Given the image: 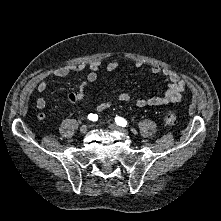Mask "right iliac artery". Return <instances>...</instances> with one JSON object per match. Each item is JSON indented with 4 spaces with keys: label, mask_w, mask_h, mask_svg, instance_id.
<instances>
[{
    "label": "right iliac artery",
    "mask_w": 221,
    "mask_h": 221,
    "mask_svg": "<svg viewBox=\"0 0 221 221\" xmlns=\"http://www.w3.org/2000/svg\"><path fill=\"white\" fill-rule=\"evenodd\" d=\"M88 119L91 120V121H97L98 115L91 113V114L88 115Z\"/></svg>",
    "instance_id": "obj_1"
}]
</instances>
